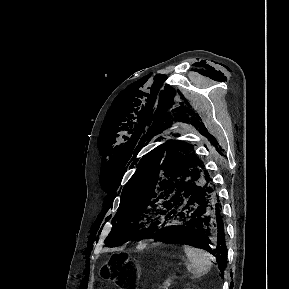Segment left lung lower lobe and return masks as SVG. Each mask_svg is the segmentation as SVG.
<instances>
[{
	"instance_id": "0a47b994",
	"label": "left lung lower lobe",
	"mask_w": 289,
	"mask_h": 289,
	"mask_svg": "<svg viewBox=\"0 0 289 289\" xmlns=\"http://www.w3.org/2000/svg\"><path fill=\"white\" fill-rule=\"evenodd\" d=\"M218 198L210 176L199 183H188L170 201L162 225L143 238L175 236L193 239V246L216 257L218 267L223 273L227 263V248L221 216L222 206Z\"/></svg>"
}]
</instances>
